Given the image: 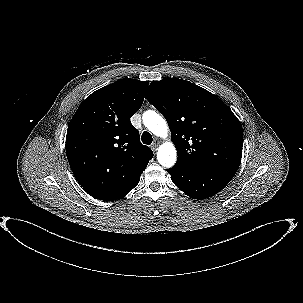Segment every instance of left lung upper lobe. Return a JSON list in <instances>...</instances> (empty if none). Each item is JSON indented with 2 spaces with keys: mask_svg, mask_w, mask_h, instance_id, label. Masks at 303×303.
Masks as SVG:
<instances>
[{
  "mask_svg": "<svg viewBox=\"0 0 303 303\" xmlns=\"http://www.w3.org/2000/svg\"><path fill=\"white\" fill-rule=\"evenodd\" d=\"M147 100L169 124L178 155L175 165L239 168L242 126L217 96L189 81L164 78L150 84Z\"/></svg>",
  "mask_w": 303,
  "mask_h": 303,
  "instance_id": "5c2ea615",
  "label": "left lung upper lobe"
}]
</instances>
